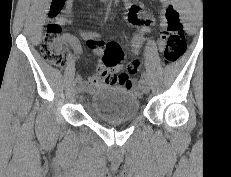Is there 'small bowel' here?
<instances>
[{
  "label": "small bowel",
  "mask_w": 231,
  "mask_h": 177,
  "mask_svg": "<svg viewBox=\"0 0 231 177\" xmlns=\"http://www.w3.org/2000/svg\"><path fill=\"white\" fill-rule=\"evenodd\" d=\"M60 10L58 15L55 17L56 21L60 25H70L71 19L70 15L72 13L73 0H59ZM125 2H129V0H124ZM161 2H165V0H160ZM127 21L133 25L138 35H136L132 40V51H135L139 45L140 36L139 33L148 32L149 27L155 23V19L152 16H142L138 11V6L135 4L128 3L127 12H126ZM64 39L71 45L73 48L76 58H78L82 54L81 46L76 37L66 34ZM164 42L162 39L158 41L159 50L164 49ZM110 68L107 70H102L100 73L90 77L86 82V88L89 92L94 91L97 87L101 85H109V84H124V81L128 78V73L123 72L120 73L119 81L117 83H113L111 81L112 75L115 74V71L119 69L118 65L109 66Z\"/></svg>",
  "instance_id": "1"
}]
</instances>
